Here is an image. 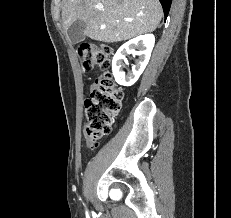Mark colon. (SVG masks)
<instances>
[{
	"label": "colon",
	"mask_w": 231,
	"mask_h": 218,
	"mask_svg": "<svg viewBox=\"0 0 231 218\" xmlns=\"http://www.w3.org/2000/svg\"><path fill=\"white\" fill-rule=\"evenodd\" d=\"M77 53L84 70L90 71L96 67L105 70L85 101V133L87 139L97 145L110 132L113 118L121 107L123 92L115 85L108 71L112 54L109 47L82 43L78 46Z\"/></svg>",
	"instance_id": "5ec220e1"
}]
</instances>
